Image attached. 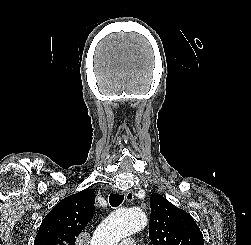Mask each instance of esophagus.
<instances>
[{"label": "esophagus", "mask_w": 251, "mask_h": 245, "mask_svg": "<svg viewBox=\"0 0 251 245\" xmlns=\"http://www.w3.org/2000/svg\"><path fill=\"white\" fill-rule=\"evenodd\" d=\"M125 198H126V200L127 201H132L133 199H134V194H133V192L132 191H127L126 193H125Z\"/></svg>", "instance_id": "obj_1"}]
</instances>
